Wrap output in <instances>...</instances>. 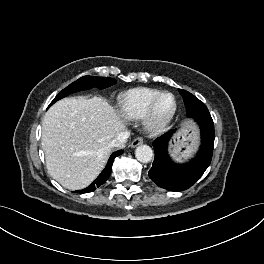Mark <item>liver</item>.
<instances>
[{
    "instance_id": "obj_1",
    "label": "liver",
    "mask_w": 264,
    "mask_h": 264,
    "mask_svg": "<svg viewBox=\"0 0 264 264\" xmlns=\"http://www.w3.org/2000/svg\"><path fill=\"white\" fill-rule=\"evenodd\" d=\"M124 130V121L102 98L59 100L42 123L49 174L67 189L87 187L105 166L111 141Z\"/></svg>"
}]
</instances>
